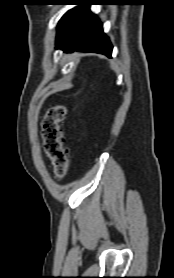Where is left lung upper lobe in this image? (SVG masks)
Returning a JSON list of instances; mask_svg holds the SVG:
<instances>
[{
	"label": "left lung upper lobe",
	"instance_id": "5c2ea615",
	"mask_svg": "<svg viewBox=\"0 0 174 278\" xmlns=\"http://www.w3.org/2000/svg\"><path fill=\"white\" fill-rule=\"evenodd\" d=\"M63 3L69 2V3H75V0L71 1H61ZM77 8H74L70 11H68L62 19L59 21L58 27H57V37H56V44L60 43L68 34L71 21L73 19V16L76 12Z\"/></svg>",
	"mask_w": 174,
	"mask_h": 278
}]
</instances>
